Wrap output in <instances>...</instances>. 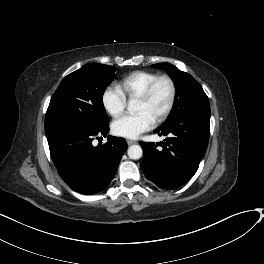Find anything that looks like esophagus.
<instances>
[{
  "instance_id": "obj_1",
  "label": "esophagus",
  "mask_w": 264,
  "mask_h": 264,
  "mask_svg": "<svg viewBox=\"0 0 264 264\" xmlns=\"http://www.w3.org/2000/svg\"><path fill=\"white\" fill-rule=\"evenodd\" d=\"M136 143V141H134V140H127V144L128 145H132V144H135Z\"/></svg>"
}]
</instances>
